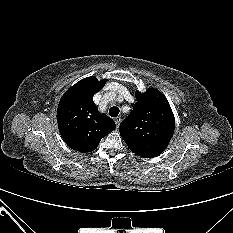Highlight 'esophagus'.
<instances>
[{
    "label": "esophagus",
    "instance_id": "1",
    "mask_svg": "<svg viewBox=\"0 0 233 233\" xmlns=\"http://www.w3.org/2000/svg\"><path fill=\"white\" fill-rule=\"evenodd\" d=\"M115 123H116L117 127L120 125V123H121V117L120 116L115 118Z\"/></svg>",
    "mask_w": 233,
    "mask_h": 233
}]
</instances>
